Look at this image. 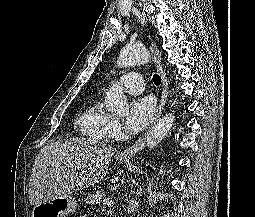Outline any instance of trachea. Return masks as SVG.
I'll list each match as a JSON object with an SVG mask.
<instances>
[{
	"instance_id": "1",
	"label": "trachea",
	"mask_w": 255,
	"mask_h": 217,
	"mask_svg": "<svg viewBox=\"0 0 255 217\" xmlns=\"http://www.w3.org/2000/svg\"><path fill=\"white\" fill-rule=\"evenodd\" d=\"M153 82L156 86L161 84V77L158 74L153 75Z\"/></svg>"
}]
</instances>
